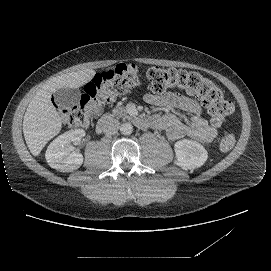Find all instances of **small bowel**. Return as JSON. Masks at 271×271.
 <instances>
[{"label":"small bowel","mask_w":271,"mask_h":271,"mask_svg":"<svg viewBox=\"0 0 271 271\" xmlns=\"http://www.w3.org/2000/svg\"><path fill=\"white\" fill-rule=\"evenodd\" d=\"M145 101L155 106L178 109L190 115L188 119L179 118L169 113L152 118V124L165 130L171 140L187 137L209 143L217 136L216 127L203 117L205 107L191 96L180 93H167L165 95L148 93L145 95Z\"/></svg>","instance_id":"1"}]
</instances>
